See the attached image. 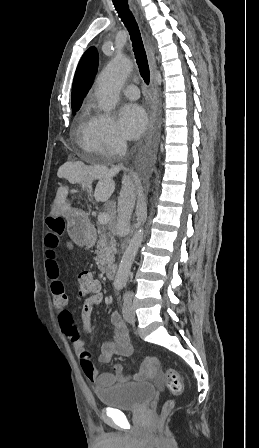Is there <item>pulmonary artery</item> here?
<instances>
[{
  "instance_id": "1",
  "label": "pulmonary artery",
  "mask_w": 259,
  "mask_h": 448,
  "mask_svg": "<svg viewBox=\"0 0 259 448\" xmlns=\"http://www.w3.org/2000/svg\"><path fill=\"white\" fill-rule=\"evenodd\" d=\"M114 62L117 66L118 72L121 75L127 76L131 72L133 67V61L131 60L130 57L120 56L116 58ZM120 92L130 99H138L140 96L139 92L137 91V87L133 84L122 85L120 87Z\"/></svg>"
}]
</instances>
